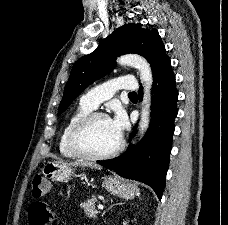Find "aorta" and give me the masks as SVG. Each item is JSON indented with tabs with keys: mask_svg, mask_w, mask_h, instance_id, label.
<instances>
[{
	"mask_svg": "<svg viewBox=\"0 0 228 225\" xmlns=\"http://www.w3.org/2000/svg\"><path fill=\"white\" fill-rule=\"evenodd\" d=\"M118 64H126V66H135L138 68L140 78L144 86V94L142 100L141 119L139 125L140 137H144L150 123V88L153 82L151 66L140 54H123L117 58Z\"/></svg>",
	"mask_w": 228,
	"mask_h": 225,
	"instance_id": "aorta-1",
	"label": "aorta"
}]
</instances>
